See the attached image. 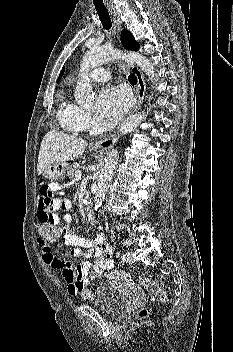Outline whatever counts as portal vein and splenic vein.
Masks as SVG:
<instances>
[{"label": "portal vein and splenic vein", "instance_id": "portal-vein-and-splenic-vein-1", "mask_svg": "<svg viewBox=\"0 0 233 352\" xmlns=\"http://www.w3.org/2000/svg\"><path fill=\"white\" fill-rule=\"evenodd\" d=\"M75 178H76V180H81V173H80V171H76V172H75Z\"/></svg>", "mask_w": 233, "mask_h": 352}]
</instances>
